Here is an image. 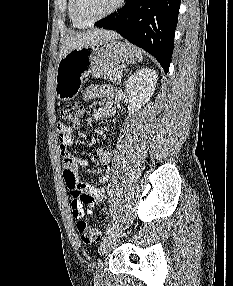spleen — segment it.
<instances>
[{
    "mask_svg": "<svg viewBox=\"0 0 233 286\" xmlns=\"http://www.w3.org/2000/svg\"><path fill=\"white\" fill-rule=\"evenodd\" d=\"M136 56H137L138 62L143 61L142 52L140 50H136Z\"/></svg>",
    "mask_w": 233,
    "mask_h": 286,
    "instance_id": "spleen-1",
    "label": "spleen"
}]
</instances>
